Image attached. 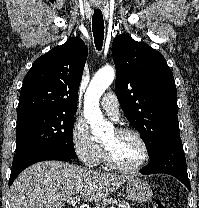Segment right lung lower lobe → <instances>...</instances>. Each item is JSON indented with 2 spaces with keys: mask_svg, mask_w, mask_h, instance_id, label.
<instances>
[{
  "mask_svg": "<svg viewBox=\"0 0 199 208\" xmlns=\"http://www.w3.org/2000/svg\"><path fill=\"white\" fill-rule=\"evenodd\" d=\"M71 159V157L55 150H43L29 153L28 155L20 158L18 161L12 163L9 186L25 168L36 162L44 160L69 161Z\"/></svg>",
  "mask_w": 199,
  "mask_h": 208,
  "instance_id": "98d812e1",
  "label": "right lung lower lobe"
}]
</instances>
